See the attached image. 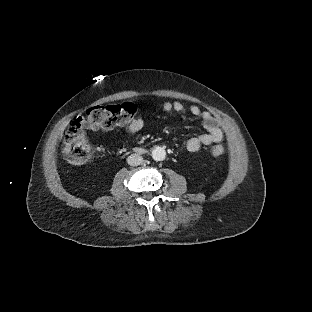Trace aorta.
Listing matches in <instances>:
<instances>
[{"mask_svg": "<svg viewBox=\"0 0 312 312\" xmlns=\"http://www.w3.org/2000/svg\"><path fill=\"white\" fill-rule=\"evenodd\" d=\"M152 158L155 161H163L166 158V151L163 147L157 146L152 150Z\"/></svg>", "mask_w": 312, "mask_h": 312, "instance_id": "1", "label": "aorta"}]
</instances>
